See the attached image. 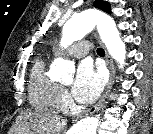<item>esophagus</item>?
<instances>
[{
  "label": "esophagus",
  "mask_w": 153,
  "mask_h": 134,
  "mask_svg": "<svg viewBox=\"0 0 153 134\" xmlns=\"http://www.w3.org/2000/svg\"><path fill=\"white\" fill-rule=\"evenodd\" d=\"M97 39H98V42L100 44H102V42L100 41V39L98 37H97ZM106 62H107V66H108L109 73H110L109 81L107 83L106 89H105L102 97L100 98V100L92 108L88 109L85 112V115L93 114L96 111H98L103 106L105 98L108 95V93L110 92V89L112 88V85H113V82H114V77H115V69H114L113 61L110 58L107 51H106ZM82 115H84V114L79 115L77 118L82 117Z\"/></svg>",
  "instance_id": "esophagus-1"
}]
</instances>
